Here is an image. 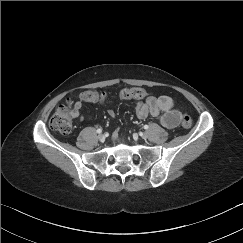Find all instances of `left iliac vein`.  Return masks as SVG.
<instances>
[{
    "label": "left iliac vein",
    "instance_id": "left-iliac-vein-1",
    "mask_svg": "<svg viewBox=\"0 0 243 243\" xmlns=\"http://www.w3.org/2000/svg\"><path fill=\"white\" fill-rule=\"evenodd\" d=\"M141 137L146 139L147 138V134L146 133H141Z\"/></svg>",
    "mask_w": 243,
    "mask_h": 243
}]
</instances>
